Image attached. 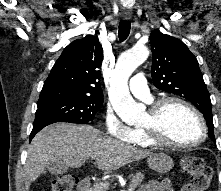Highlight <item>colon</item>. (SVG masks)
<instances>
[{
    "label": "colon",
    "instance_id": "5ec220e1",
    "mask_svg": "<svg viewBox=\"0 0 221 191\" xmlns=\"http://www.w3.org/2000/svg\"><path fill=\"white\" fill-rule=\"evenodd\" d=\"M181 167L190 180L182 191H207L213 176L212 168L199 156H185L181 160ZM76 178L72 174H64L54 178L50 191H72Z\"/></svg>",
    "mask_w": 221,
    "mask_h": 191
}]
</instances>
